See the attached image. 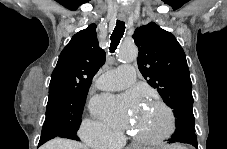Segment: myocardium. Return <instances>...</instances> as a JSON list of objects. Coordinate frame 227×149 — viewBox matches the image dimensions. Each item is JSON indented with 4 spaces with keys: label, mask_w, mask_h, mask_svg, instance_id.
<instances>
[{
    "label": "myocardium",
    "mask_w": 227,
    "mask_h": 149,
    "mask_svg": "<svg viewBox=\"0 0 227 149\" xmlns=\"http://www.w3.org/2000/svg\"><path fill=\"white\" fill-rule=\"evenodd\" d=\"M149 102L157 105L164 111L166 118H167L166 128L162 133H160L158 135L138 136V135L132 133L131 138L135 142H137L138 144H141V145H158V144L164 142L165 140H167L173 134V132L175 130V117H174V113H173L172 109L162 100L156 99V98H151V99H149Z\"/></svg>",
    "instance_id": "f54148a6"
}]
</instances>
